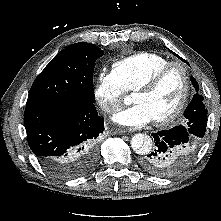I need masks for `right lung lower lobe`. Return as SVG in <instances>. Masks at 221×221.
Listing matches in <instances>:
<instances>
[{
  "label": "right lung lower lobe",
  "mask_w": 221,
  "mask_h": 221,
  "mask_svg": "<svg viewBox=\"0 0 221 221\" xmlns=\"http://www.w3.org/2000/svg\"><path fill=\"white\" fill-rule=\"evenodd\" d=\"M24 124L31 150L52 174L71 179L94 167L96 140L105 129L94 103L26 105Z\"/></svg>",
  "instance_id": "obj_1"
}]
</instances>
